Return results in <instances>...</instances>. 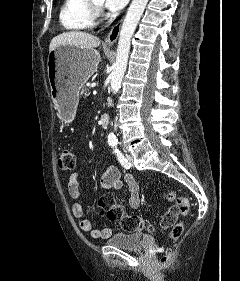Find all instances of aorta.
<instances>
[{"label":"aorta","instance_id":"aorta-1","mask_svg":"<svg viewBox=\"0 0 240 281\" xmlns=\"http://www.w3.org/2000/svg\"><path fill=\"white\" fill-rule=\"evenodd\" d=\"M147 3L148 0H132L123 21L118 40L116 61L110 76L111 90L114 94L117 93L121 88L122 79L124 77L128 62L131 38ZM107 138L108 142L116 141V136L113 132H110Z\"/></svg>","mask_w":240,"mask_h":281}]
</instances>
